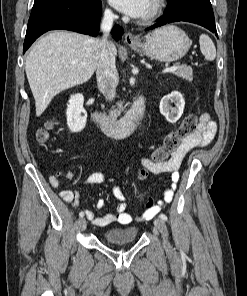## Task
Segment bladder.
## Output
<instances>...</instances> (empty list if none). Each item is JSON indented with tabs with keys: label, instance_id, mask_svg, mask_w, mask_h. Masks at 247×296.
<instances>
[{
	"label": "bladder",
	"instance_id": "obj_1",
	"mask_svg": "<svg viewBox=\"0 0 247 296\" xmlns=\"http://www.w3.org/2000/svg\"><path fill=\"white\" fill-rule=\"evenodd\" d=\"M138 227L126 226L109 229L104 233V240L107 243L118 244L132 242L137 238Z\"/></svg>",
	"mask_w": 247,
	"mask_h": 296
}]
</instances>
